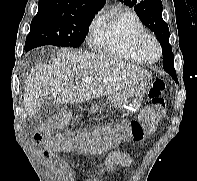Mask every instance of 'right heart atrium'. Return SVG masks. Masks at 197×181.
<instances>
[{
  "mask_svg": "<svg viewBox=\"0 0 197 181\" xmlns=\"http://www.w3.org/2000/svg\"><path fill=\"white\" fill-rule=\"evenodd\" d=\"M101 20H102V17L100 15H96L93 18V20L91 21L90 28H89V32H90L91 37L94 35L96 30L98 29Z\"/></svg>",
  "mask_w": 197,
  "mask_h": 181,
  "instance_id": "obj_1",
  "label": "right heart atrium"
}]
</instances>
